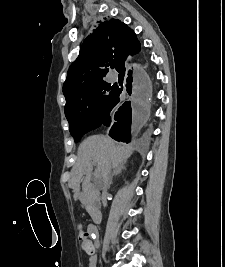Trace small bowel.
Here are the masks:
<instances>
[{
	"label": "small bowel",
	"mask_w": 225,
	"mask_h": 267,
	"mask_svg": "<svg viewBox=\"0 0 225 267\" xmlns=\"http://www.w3.org/2000/svg\"><path fill=\"white\" fill-rule=\"evenodd\" d=\"M82 233L87 236L89 242L91 243V250L89 252H86V251L85 252L90 256V267H93L96 256H95V247L90 239V236L95 237L97 231L94 226H88L87 232L81 231L79 234V237Z\"/></svg>",
	"instance_id": "small-bowel-1"
}]
</instances>
